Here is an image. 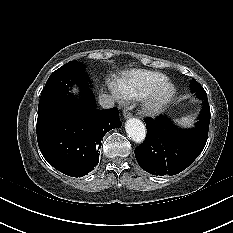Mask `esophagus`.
<instances>
[{
  "mask_svg": "<svg viewBox=\"0 0 233 233\" xmlns=\"http://www.w3.org/2000/svg\"><path fill=\"white\" fill-rule=\"evenodd\" d=\"M123 116L125 119H127V118H130L132 116V114H131V112L126 110V111H124Z\"/></svg>",
  "mask_w": 233,
  "mask_h": 233,
  "instance_id": "obj_1",
  "label": "esophagus"
}]
</instances>
